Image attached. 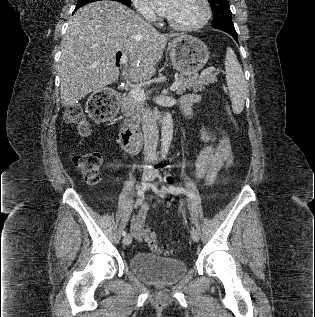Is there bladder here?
<instances>
[{
	"label": "bladder",
	"instance_id": "obj_1",
	"mask_svg": "<svg viewBox=\"0 0 315 317\" xmlns=\"http://www.w3.org/2000/svg\"><path fill=\"white\" fill-rule=\"evenodd\" d=\"M130 269L143 281L155 286H166L180 280L187 271L184 261L139 252L129 258Z\"/></svg>",
	"mask_w": 315,
	"mask_h": 317
}]
</instances>
